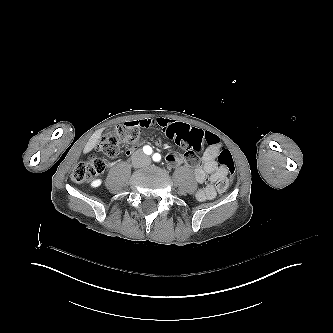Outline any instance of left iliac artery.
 I'll list each match as a JSON object with an SVG mask.
<instances>
[{
  "instance_id": "44dca946",
  "label": "left iliac artery",
  "mask_w": 333,
  "mask_h": 333,
  "mask_svg": "<svg viewBox=\"0 0 333 333\" xmlns=\"http://www.w3.org/2000/svg\"><path fill=\"white\" fill-rule=\"evenodd\" d=\"M160 159H161L160 154L155 153V154L153 155V160H154V161L158 162V161H160Z\"/></svg>"
}]
</instances>
